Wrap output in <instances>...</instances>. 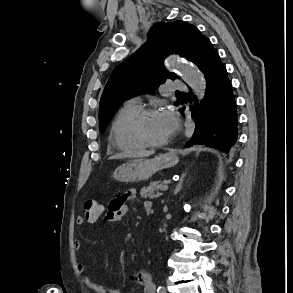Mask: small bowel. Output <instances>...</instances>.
<instances>
[{"label": "small bowel", "mask_w": 293, "mask_h": 293, "mask_svg": "<svg viewBox=\"0 0 293 293\" xmlns=\"http://www.w3.org/2000/svg\"><path fill=\"white\" fill-rule=\"evenodd\" d=\"M137 197V191L135 189H130L123 194L113 198L107 208L105 213V220L108 222H121L125 218L128 212V202L135 199ZM147 208L152 207V203L147 201L144 203V210L146 212ZM76 223L78 225L83 224V219L78 218ZM82 248L81 241L77 240L75 242V249L80 250ZM78 270L80 274H84L86 272V266L80 264L78 266ZM138 283L141 285L143 293H155L156 287L152 280V276L148 271L141 270L137 273ZM86 284L95 292V293H123L122 290L117 288H111L96 282L95 280L85 277Z\"/></svg>", "instance_id": "obj_1"}]
</instances>
